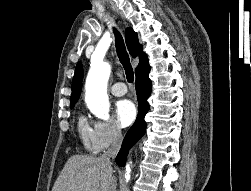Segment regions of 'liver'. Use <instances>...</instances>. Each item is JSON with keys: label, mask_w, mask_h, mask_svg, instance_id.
<instances>
[{"label": "liver", "mask_w": 251, "mask_h": 191, "mask_svg": "<svg viewBox=\"0 0 251 191\" xmlns=\"http://www.w3.org/2000/svg\"><path fill=\"white\" fill-rule=\"evenodd\" d=\"M112 167L101 157L71 155L58 175L52 191H115Z\"/></svg>", "instance_id": "obj_1"}]
</instances>
